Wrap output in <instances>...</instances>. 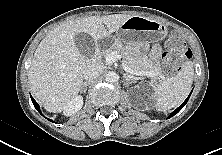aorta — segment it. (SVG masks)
Segmentation results:
<instances>
[{
    "mask_svg": "<svg viewBox=\"0 0 222 155\" xmlns=\"http://www.w3.org/2000/svg\"><path fill=\"white\" fill-rule=\"evenodd\" d=\"M105 80L109 83H114L118 81V75L115 72L110 71L106 74Z\"/></svg>",
    "mask_w": 222,
    "mask_h": 155,
    "instance_id": "762f6f07",
    "label": "aorta"
}]
</instances>
